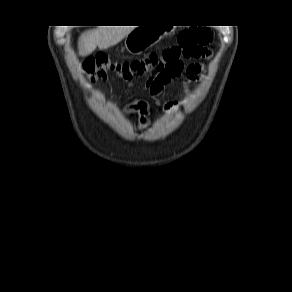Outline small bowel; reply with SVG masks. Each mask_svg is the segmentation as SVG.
Returning <instances> with one entry per match:
<instances>
[{"mask_svg": "<svg viewBox=\"0 0 292 292\" xmlns=\"http://www.w3.org/2000/svg\"><path fill=\"white\" fill-rule=\"evenodd\" d=\"M188 73H189V78L188 80L186 81V86H188L189 83L197 80L199 78V76L201 75L202 73V68L200 65H192L189 67L188 69ZM163 86L164 85H161L158 89H156L155 91H153V95H158L162 89H163ZM178 102L176 101H169L165 104V109L167 110H171V109H174L178 106Z\"/></svg>", "mask_w": 292, "mask_h": 292, "instance_id": "small-bowel-1", "label": "small bowel"}]
</instances>
